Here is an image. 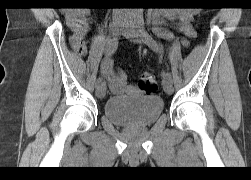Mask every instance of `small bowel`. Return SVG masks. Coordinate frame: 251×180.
Wrapping results in <instances>:
<instances>
[{
    "instance_id": "obj_1",
    "label": "small bowel",
    "mask_w": 251,
    "mask_h": 180,
    "mask_svg": "<svg viewBox=\"0 0 251 180\" xmlns=\"http://www.w3.org/2000/svg\"><path fill=\"white\" fill-rule=\"evenodd\" d=\"M197 13L195 9L186 10H167L154 14L155 33L162 38L171 39L172 35L162 27V17H172L178 23V29L183 33V45L187 46L190 40L196 36L192 27V19ZM67 25L71 31L70 43L73 49L80 55L87 52L86 38L91 30L92 18L90 11L73 10L67 14ZM102 72L105 75L110 89L114 93H139V90L130 86L127 76L122 70H113L110 59L102 62Z\"/></svg>"
}]
</instances>
